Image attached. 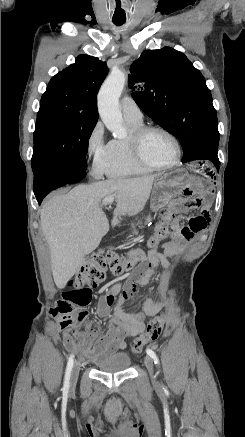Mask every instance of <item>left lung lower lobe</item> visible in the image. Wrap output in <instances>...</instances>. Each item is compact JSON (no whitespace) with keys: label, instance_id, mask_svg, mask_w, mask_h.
<instances>
[{"label":"left lung lower lobe","instance_id":"1","mask_svg":"<svg viewBox=\"0 0 245 437\" xmlns=\"http://www.w3.org/2000/svg\"><path fill=\"white\" fill-rule=\"evenodd\" d=\"M213 163H214V165L217 167V169L219 168V166H220V162H219V159H218V157H214L213 158Z\"/></svg>","mask_w":245,"mask_h":437}]
</instances>
